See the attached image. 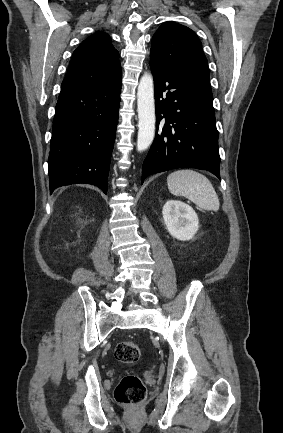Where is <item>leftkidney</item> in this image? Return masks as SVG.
Listing matches in <instances>:
<instances>
[{"mask_svg": "<svg viewBox=\"0 0 283 433\" xmlns=\"http://www.w3.org/2000/svg\"><path fill=\"white\" fill-rule=\"evenodd\" d=\"M162 214L168 232L177 240H190L198 231L199 220L196 212L182 201H167Z\"/></svg>", "mask_w": 283, "mask_h": 433, "instance_id": "obj_1", "label": "left kidney"}]
</instances>
